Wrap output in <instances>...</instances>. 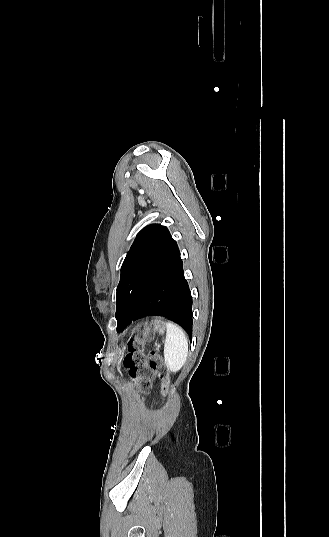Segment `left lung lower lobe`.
I'll use <instances>...</instances> for the list:
<instances>
[{
    "instance_id": "obj_1",
    "label": "left lung lower lobe",
    "mask_w": 329,
    "mask_h": 537,
    "mask_svg": "<svg viewBox=\"0 0 329 537\" xmlns=\"http://www.w3.org/2000/svg\"><path fill=\"white\" fill-rule=\"evenodd\" d=\"M159 315L179 324L192 338V296L184 277L180 252L149 283L117 331L140 318Z\"/></svg>"
}]
</instances>
